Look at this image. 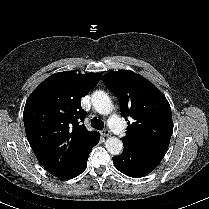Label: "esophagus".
I'll return each instance as SVG.
<instances>
[{"instance_id": "34e87169", "label": "esophagus", "mask_w": 209, "mask_h": 209, "mask_svg": "<svg viewBox=\"0 0 209 209\" xmlns=\"http://www.w3.org/2000/svg\"><path fill=\"white\" fill-rule=\"evenodd\" d=\"M100 133L104 137L110 136V132L108 129H103Z\"/></svg>"}]
</instances>
